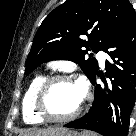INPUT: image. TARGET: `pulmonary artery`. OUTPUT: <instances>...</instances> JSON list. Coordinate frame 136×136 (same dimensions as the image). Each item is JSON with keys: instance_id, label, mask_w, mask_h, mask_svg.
<instances>
[{"instance_id": "pulmonary-artery-1", "label": "pulmonary artery", "mask_w": 136, "mask_h": 136, "mask_svg": "<svg viewBox=\"0 0 136 136\" xmlns=\"http://www.w3.org/2000/svg\"><path fill=\"white\" fill-rule=\"evenodd\" d=\"M97 58H98V60H99V62H100V64H101V66H103V65L105 64V58H106L105 52L99 51V52L97 53Z\"/></svg>"}]
</instances>
